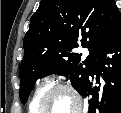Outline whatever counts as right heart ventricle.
I'll list each match as a JSON object with an SVG mask.
<instances>
[{
	"mask_svg": "<svg viewBox=\"0 0 121 113\" xmlns=\"http://www.w3.org/2000/svg\"><path fill=\"white\" fill-rule=\"evenodd\" d=\"M48 87L47 84L42 85L41 87H39L36 92L34 93L33 97H32V101L30 103V110H35L37 108L39 99L43 93V91Z\"/></svg>",
	"mask_w": 121,
	"mask_h": 113,
	"instance_id": "e07e8e85",
	"label": "right heart ventricle"
}]
</instances>
